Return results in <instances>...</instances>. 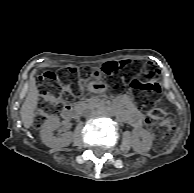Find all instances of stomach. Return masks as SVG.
<instances>
[{
    "mask_svg": "<svg viewBox=\"0 0 194 193\" xmlns=\"http://www.w3.org/2000/svg\"><path fill=\"white\" fill-rule=\"evenodd\" d=\"M80 85L82 88L95 93H104L108 88L107 84L101 80L86 81Z\"/></svg>",
    "mask_w": 194,
    "mask_h": 193,
    "instance_id": "obj_1",
    "label": "stomach"
}]
</instances>
